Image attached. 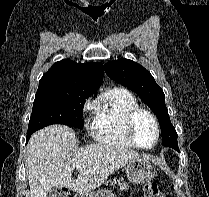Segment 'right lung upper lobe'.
Masks as SVG:
<instances>
[{
  "label": "right lung upper lobe",
  "instance_id": "cb5924a9",
  "mask_svg": "<svg viewBox=\"0 0 209 197\" xmlns=\"http://www.w3.org/2000/svg\"><path fill=\"white\" fill-rule=\"evenodd\" d=\"M103 76L104 70L101 63L81 64L64 59L54 63L39 83L78 85L96 92L102 84Z\"/></svg>",
  "mask_w": 209,
  "mask_h": 197
}]
</instances>
